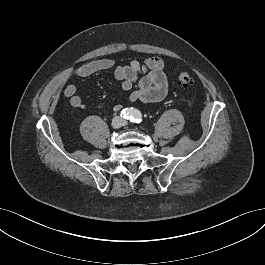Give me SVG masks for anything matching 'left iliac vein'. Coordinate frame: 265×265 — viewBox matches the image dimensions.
<instances>
[{"label":"left iliac vein","instance_id":"1","mask_svg":"<svg viewBox=\"0 0 265 265\" xmlns=\"http://www.w3.org/2000/svg\"><path fill=\"white\" fill-rule=\"evenodd\" d=\"M123 126H127L128 125V123L126 122V121H123V124H122Z\"/></svg>","mask_w":265,"mask_h":265}]
</instances>
